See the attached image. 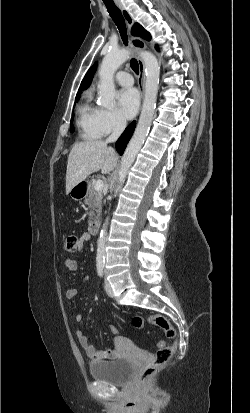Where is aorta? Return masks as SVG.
<instances>
[{
  "mask_svg": "<svg viewBox=\"0 0 250 413\" xmlns=\"http://www.w3.org/2000/svg\"><path fill=\"white\" fill-rule=\"evenodd\" d=\"M130 54L131 52L129 50L122 49L118 51H111L104 57L99 70V103L103 107H112L115 97L114 73L129 58ZM140 57L143 60L146 73L145 98L134 135L121 159V166L118 173V185L115 193L120 190L126 179L128 171L136 158V155L146 139L156 107L160 66L156 57L148 51H141ZM107 224L108 220H106L97 241L96 261L97 264L100 265L105 262Z\"/></svg>",
  "mask_w": 250,
  "mask_h": 413,
  "instance_id": "obj_1",
  "label": "aorta"
}]
</instances>
